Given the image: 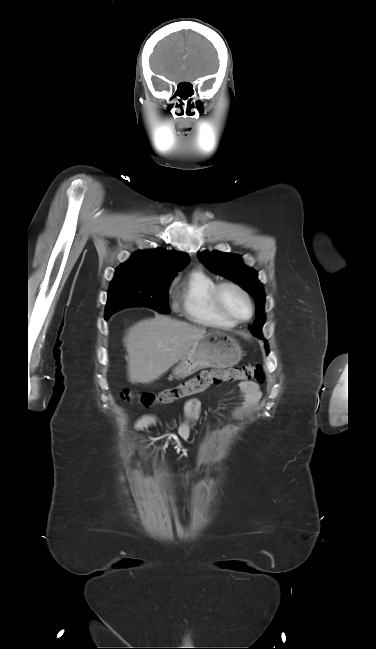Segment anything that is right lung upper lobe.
<instances>
[{"label":"right lung upper lobe","instance_id":"1","mask_svg":"<svg viewBox=\"0 0 376 649\" xmlns=\"http://www.w3.org/2000/svg\"><path fill=\"white\" fill-rule=\"evenodd\" d=\"M189 256L183 252L166 251L158 248L135 252L128 263H132L148 274L158 275L181 270L189 262Z\"/></svg>","mask_w":376,"mask_h":649}]
</instances>
